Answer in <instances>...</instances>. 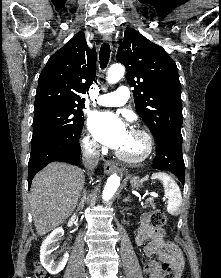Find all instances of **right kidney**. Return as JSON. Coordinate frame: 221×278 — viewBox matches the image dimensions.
Listing matches in <instances>:
<instances>
[{"instance_id":"1","label":"right kidney","mask_w":221,"mask_h":278,"mask_svg":"<svg viewBox=\"0 0 221 278\" xmlns=\"http://www.w3.org/2000/svg\"><path fill=\"white\" fill-rule=\"evenodd\" d=\"M64 230L62 228L55 229L43 242L40 248V261L42 266L52 275L61 272L69 258V254L65 252L57 261L52 252L56 249L58 241L63 237Z\"/></svg>"}]
</instances>
